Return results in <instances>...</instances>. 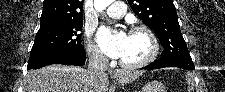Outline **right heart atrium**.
<instances>
[{"mask_svg": "<svg viewBox=\"0 0 225 92\" xmlns=\"http://www.w3.org/2000/svg\"><path fill=\"white\" fill-rule=\"evenodd\" d=\"M86 35L88 38L87 52H88L89 56L96 61H100V62L103 61L104 56H103L101 50L91 40L92 32L87 31Z\"/></svg>", "mask_w": 225, "mask_h": 92, "instance_id": "right-heart-atrium-1", "label": "right heart atrium"}]
</instances>
